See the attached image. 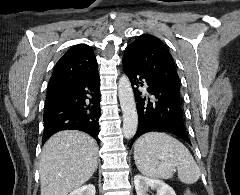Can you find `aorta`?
<instances>
[{
	"mask_svg": "<svg viewBox=\"0 0 240 195\" xmlns=\"http://www.w3.org/2000/svg\"><path fill=\"white\" fill-rule=\"evenodd\" d=\"M118 96L123 113V133L126 139H130L137 131L138 113L133 90L127 76H121L119 80Z\"/></svg>",
	"mask_w": 240,
	"mask_h": 195,
	"instance_id": "1",
	"label": "aorta"
}]
</instances>
